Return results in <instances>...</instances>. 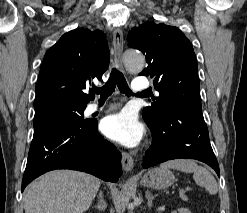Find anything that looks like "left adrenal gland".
<instances>
[{"label": "left adrenal gland", "instance_id": "1", "mask_svg": "<svg viewBox=\"0 0 247 213\" xmlns=\"http://www.w3.org/2000/svg\"><path fill=\"white\" fill-rule=\"evenodd\" d=\"M156 195H152L151 192L149 190L146 191V198L148 200L147 205L149 208L152 207L153 204V200L155 199Z\"/></svg>", "mask_w": 247, "mask_h": 213}]
</instances>
